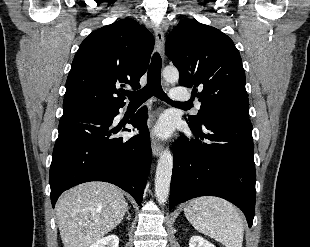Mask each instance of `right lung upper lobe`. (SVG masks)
<instances>
[{"label": "right lung upper lobe", "mask_w": 310, "mask_h": 247, "mask_svg": "<svg viewBox=\"0 0 310 247\" xmlns=\"http://www.w3.org/2000/svg\"><path fill=\"white\" fill-rule=\"evenodd\" d=\"M154 46L153 35L126 18L92 32L81 43L66 81L63 114L120 108L121 88L139 89Z\"/></svg>", "instance_id": "1"}]
</instances>
